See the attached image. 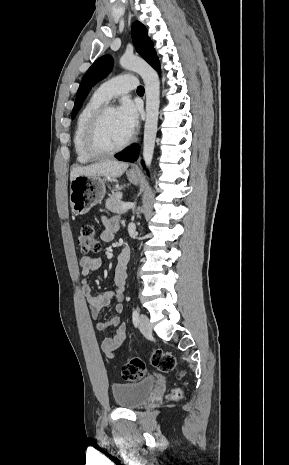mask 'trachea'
Instances as JSON below:
<instances>
[{"instance_id":"3493384b","label":"trachea","mask_w":289,"mask_h":465,"mask_svg":"<svg viewBox=\"0 0 289 465\" xmlns=\"http://www.w3.org/2000/svg\"><path fill=\"white\" fill-rule=\"evenodd\" d=\"M137 93L143 94V93H144V87H143V86H139V87L137 88Z\"/></svg>"}]
</instances>
